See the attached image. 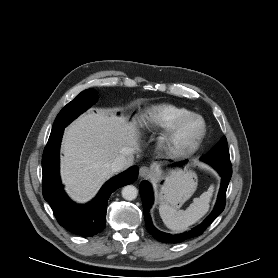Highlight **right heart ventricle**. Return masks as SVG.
I'll list each match as a JSON object with an SVG mask.
<instances>
[{
	"mask_svg": "<svg viewBox=\"0 0 278 278\" xmlns=\"http://www.w3.org/2000/svg\"><path fill=\"white\" fill-rule=\"evenodd\" d=\"M192 113L190 110L172 104H159L149 107L145 112L148 124L161 129L171 128L181 117Z\"/></svg>",
	"mask_w": 278,
	"mask_h": 278,
	"instance_id": "1",
	"label": "right heart ventricle"
}]
</instances>
